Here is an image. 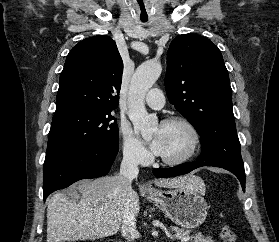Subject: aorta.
I'll return each instance as SVG.
<instances>
[{
	"label": "aorta",
	"mask_w": 279,
	"mask_h": 242,
	"mask_svg": "<svg viewBox=\"0 0 279 242\" xmlns=\"http://www.w3.org/2000/svg\"><path fill=\"white\" fill-rule=\"evenodd\" d=\"M162 71L160 63L147 61L135 71L128 95V116L134 129L148 140L157 128V118L149 115L145 108V95L157 81Z\"/></svg>",
	"instance_id": "obj_1"
}]
</instances>
